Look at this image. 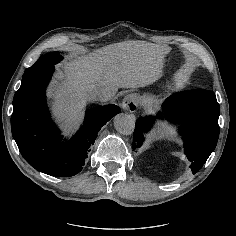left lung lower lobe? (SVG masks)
Here are the masks:
<instances>
[{"instance_id":"1","label":"left lung lower lobe","mask_w":236,"mask_h":236,"mask_svg":"<svg viewBox=\"0 0 236 236\" xmlns=\"http://www.w3.org/2000/svg\"><path fill=\"white\" fill-rule=\"evenodd\" d=\"M163 115L172 122L183 121L180 134L184 140L185 154L193 174L198 172L216 147L219 137L220 107L216 96L205 89L188 90L171 95L162 105ZM162 113L158 117L163 118ZM154 122V117H140L136 121L132 148L144 141Z\"/></svg>"}]
</instances>
